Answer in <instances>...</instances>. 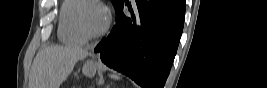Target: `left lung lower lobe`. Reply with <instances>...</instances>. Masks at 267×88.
<instances>
[{
  "instance_id": "obj_1",
  "label": "left lung lower lobe",
  "mask_w": 267,
  "mask_h": 88,
  "mask_svg": "<svg viewBox=\"0 0 267 88\" xmlns=\"http://www.w3.org/2000/svg\"><path fill=\"white\" fill-rule=\"evenodd\" d=\"M128 6L131 16L123 12ZM116 23L94 49L109 67L129 76L143 88H163L183 30L182 0L123 1Z\"/></svg>"
}]
</instances>
